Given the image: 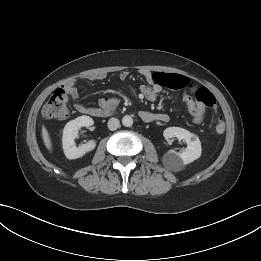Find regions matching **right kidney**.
Instances as JSON below:
<instances>
[{"mask_svg": "<svg viewBox=\"0 0 261 261\" xmlns=\"http://www.w3.org/2000/svg\"><path fill=\"white\" fill-rule=\"evenodd\" d=\"M94 121L89 116H80L69 121L63 130L62 145L65 156L68 159H77L92 151L96 147L95 140H90L86 144L76 147L74 139L78 136V129L86 126H92Z\"/></svg>", "mask_w": 261, "mask_h": 261, "instance_id": "obj_1", "label": "right kidney"}]
</instances>
